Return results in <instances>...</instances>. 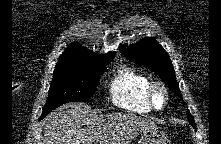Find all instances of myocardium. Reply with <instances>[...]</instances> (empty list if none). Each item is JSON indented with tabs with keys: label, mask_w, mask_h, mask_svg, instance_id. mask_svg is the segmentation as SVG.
<instances>
[{
	"label": "myocardium",
	"mask_w": 221,
	"mask_h": 144,
	"mask_svg": "<svg viewBox=\"0 0 221 144\" xmlns=\"http://www.w3.org/2000/svg\"><path fill=\"white\" fill-rule=\"evenodd\" d=\"M157 93H161L163 96V104L158 106L156 102ZM147 99L152 109L160 111L166 108L169 101L168 89L164 85V83L160 81H152L150 82L147 90Z\"/></svg>",
	"instance_id": "f54148a6"
}]
</instances>
